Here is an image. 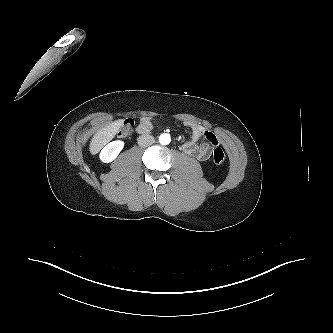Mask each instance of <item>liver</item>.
<instances>
[{
  "mask_svg": "<svg viewBox=\"0 0 333 333\" xmlns=\"http://www.w3.org/2000/svg\"><path fill=\"white\" fill-rule=\"evenodd\" d=\"M122 124V119L116 120L97 131L90 142V153L93 155L98 153L104 145L114 138Z\"/></svg>",
  "mask_w": 333,
  "mask_h": 333,
  "instance_id": "obj_1",
  "label": "liver"
}]
</instances>
